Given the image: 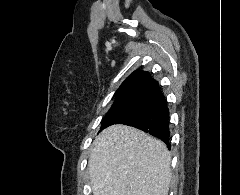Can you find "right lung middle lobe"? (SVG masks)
<instances>
[{
  "mask_svg": "<svg viewBox=\"0 0 240 195\" xmlns=\"http://www.w3.org/2000/svg\"><path fill=\"white\" fill-rule=\"evenodd\" d=\"M146 97V94L116 95L113 105L104 117L100 131L110 125L117 123L126 115L137 109L142 105Z\"/></svg>",
  "mask_w": 240,
  "mask_h": 195,
  "instance_id": "dd1d6c3e",
  "label": "right lung middle lobe"
}]
</instances>
